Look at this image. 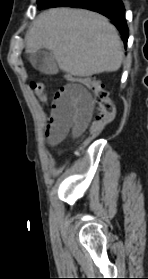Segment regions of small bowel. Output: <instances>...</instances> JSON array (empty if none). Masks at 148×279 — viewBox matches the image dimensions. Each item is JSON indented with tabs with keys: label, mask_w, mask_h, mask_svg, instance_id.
<instances>
[{
	"label": "small bowel",
	"mask_w": 148,
	"mask_h": 279,
	"mask_svg": "<svg viewBox=\"0 0 148 279\" xmlns=\"http://www.w3.org/2000/svg\"><path fill=\"white\" fill-rule=\"evenodd\" d=\"M92 110V97L83 86L74 83L62 86L51 99L45 132L49 144L57 145L71 133L79 135L84 132Z\"/></svg>",
	"instance_id": "c3829d8e"
}]
</instances>
